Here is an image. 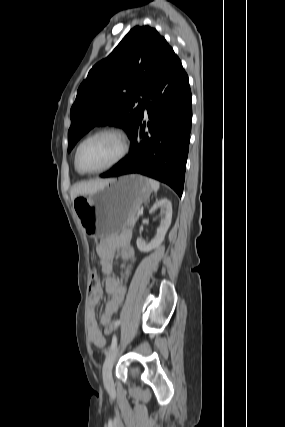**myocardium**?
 I'll use <instances>...</instances> for the list:
<instances>
[{"mask_svg": "<svg viewBox=\"0 0 285 427\" xmlns=\"http://www.w3.org/2000/svg\"><path fill=\"white\" fill-rule=\"evenodd\" d=\"M103 134H112L121 140L122 148H121L120 154L110 164H108L107 166L102 167L100 169L91 170V171H87V170L82 169L80 166V163H79V155H80V151H81L82 147L89 140H91V139H93L99 135H103ZM129 150H130V141H129L127 134L124 131H122L121 129L115 128V127H105V128L99 129V130L93 132L92 134L88 135L78 145L76 153H75V166H76L77 170L82 174L103 173V172L108 171V170L114 168L115 166H117L127 156Z\"/></svg>", "mask_w": 285, "mask_h": 427, "instance_id": "f54148a6", "label": "myocardium"}]
</instances>
